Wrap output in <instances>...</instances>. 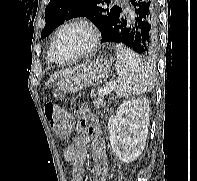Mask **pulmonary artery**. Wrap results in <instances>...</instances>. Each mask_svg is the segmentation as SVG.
Instances as JSON below:
<instances>
[{"instance_id": "pulmonary-artery-1", "label": "pulmonary artery", "mask_w": 197, "mask_h": 181, "mask_svg": "<svg viewBox=\"0 0 197 181\" xmlns=\"http://www.w3.org/2000/svg\"><path fill=\"white\" fill-rule=\"evenodd\" d=\"M127 7L129 8V7H130V5H129V4H127Z\"/></svg>"}]
</instances>
